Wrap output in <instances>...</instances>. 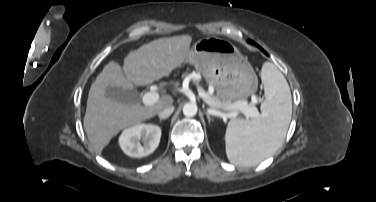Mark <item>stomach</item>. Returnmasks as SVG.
Listing matches in <instances>:
<instances>
[{
  "instance_id": "stomach-1",
  "label": "stomach",
  "mask_w": 376,
  "mask_h": 202,
  "mask_svg": "<svg viewBox=\"0 0 376 202\" xmlns=\"http://www.w3.org/2000/svg\"><path fill=\"white\" fill-rule=\"evenodd\" d=\"M186 62L194 65L204 80L214 86L222 101L247 98L257 90L252 66L228 40L200 39L189 51Z\"/></svg>"
}]
</instances>
